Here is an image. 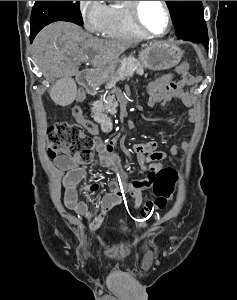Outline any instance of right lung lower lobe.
Masks as SVG:
<instances>
[{
	"instance_id": "1",
	"label": "right lung lower lobe",
	"mask_w": 237,
	"mask_h": 300,
	"mask_svg": "<svg viewBox=\"0 0 237 300\" xmlns=\"http://www.w3.org/2000/svg\"><path fill=\"white\" fill-rule=\"evenodd\" d=\"M35 36H36V34H34V33L31 32V34H30V40L32 41Z\"/></svg>"
}]
</instances>
